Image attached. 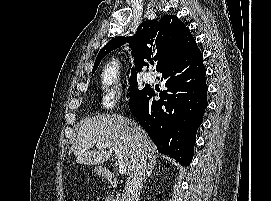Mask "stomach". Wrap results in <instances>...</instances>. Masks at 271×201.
Returning a JSON list of instances; mask_svg holds the SVG:
<instances>
[{
  "instance_id": "1",
  "label": "stomach",
  "mask_w": 271,
  "mask_h": 201,
  "mask_svg": "<svg viewBox=\"0 0 271 201\" xmlns=\"http://www.w3.org/2000/svg\"><path fill=\"white\" fill-rule=\"evenodd\" d=\"M95 172L100 175L103 173V169L101 167H99V168L95 169Z\"/></svg>"
}]
</instances>
